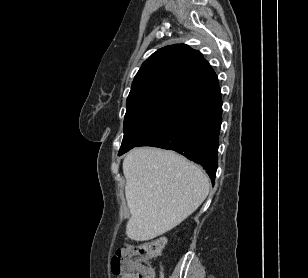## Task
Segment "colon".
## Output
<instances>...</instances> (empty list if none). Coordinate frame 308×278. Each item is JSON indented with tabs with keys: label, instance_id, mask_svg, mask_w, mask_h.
I'll list each match as a JSON object with an SVG mask.
<instances>
[{
	"label": "colon",
	"instance_id": "colon-1",
	"mask_svg": "<svg viewBox=\"0 0 308 278\" xmlns=\"http://www.w3.org/2000/svg\"><path fill=\"white\" fill-rule=\"evenodd\" d=\"M165 243L166 238L160 236L140 244H126L111 259L113 274L119 278H155L149 261L161 253Z\"/></svg>",
	"mask_w": 308,
	"mask_h": 278
}]
</instances>
